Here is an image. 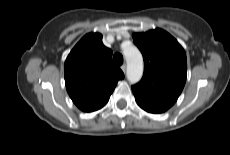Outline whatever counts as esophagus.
I'll use <instances>...</instances> for the list:
<instances>
[{
    "label": "esophagus",
    "instance_id": "esophagus-1",
    "mask_svg": "<svg viewBox=\"0 0 230 155\" xmlns=\"http://www.w3.org/2000/svg\"><path fill=\"white\" fill-rule=\"evenodd\" d=\"M121 70L125 73L126 72V64H123L122 66H121Z\"/></svg>",
    "mask_w": 230,
    "mask_h": 155
}]
</instances>
